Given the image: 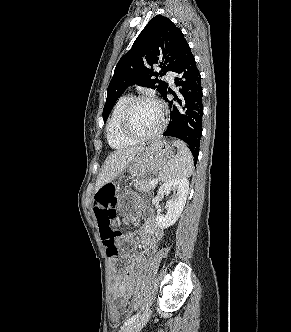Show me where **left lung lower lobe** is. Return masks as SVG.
Masks as SVG:
<instances>
[{"instance_id":"obj_1","label":"left lung lower lobe","mask_w":291,"mask_h":332,"mask_svg":"<svg viewBox=\"0 0 291 332\" xmlns=\"http://www.w3.org/2000/svg\"><path fill=\"white\" fill-rule=\"evenodd\" d=\"M174 72L178 73L175 84L180 86V89L178 94L168 89L163 95L171 107L170 123L163 135L179 138L191 148L196 142L200 143L202 136L203 94L200 72L189 45L186 46ZM168 92L174 95L171 101L167 99ZM198 152L199 150L192 152L195 162Z\"/></svg>"}]
</instances>
